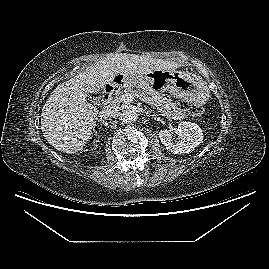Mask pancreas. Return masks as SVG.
<instances>
[{"label": "pancreas", "instance_id": "pancreas-1", "mask_svg": "<svg viewBox=\"0 0 269 269\" xmlns=\"http://www.w3.org/2000/svg\"><path fill=\"white\" fill-rule=\"evenodd\" d=\"M133 84L124 87L123 91L117 90L116 94L122 95L125 93L131 94L134 97L141 99L142 101L148 102L151 105L157 107L167 118L173 119H184L185 114L177 107L176 103H173L171 99L162 97L161 95L149 97L146 93L137 91L134 89Z\"/></svg>", "mask_w": 269, "mask_h": 269}]
</instances>
